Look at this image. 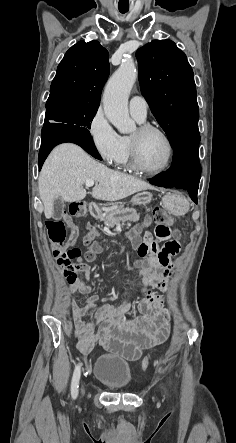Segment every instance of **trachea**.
<instances>
[{
	"label": "trachea",
	"mask_w": 236,
	"mask_h": 443,
	"mask_svg": "<svg viewBox=\"0 0 236 443\" xmlns=\"http://www.w3.org/2000/svg\"><path fill=\"white\" fill-rule=\"evenodd\" d=\"M121 13H126L128 9H119Z\"/></svg>",
	"instance_id": "1"
}]
</instances>
